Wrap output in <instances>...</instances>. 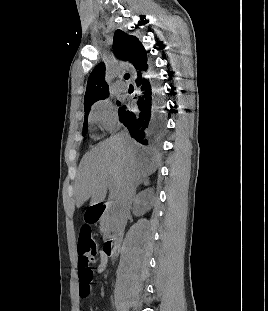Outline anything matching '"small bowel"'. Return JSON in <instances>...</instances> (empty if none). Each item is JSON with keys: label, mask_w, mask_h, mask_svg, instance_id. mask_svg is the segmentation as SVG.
Here are the masks:
<instances>
[{"label": "small bowel", "mask_w": 268, "mask_h": 311, "mask_svg": "<svg viewBox=\"0 0 268 311\" xmlns=\"http://www.w3.org/2000/svg\"><path fill=\"white\" fill-rule=\"evenodd\" d=\"M99 255H100V261H99V264L97 266V273L102 274L105 271L107 261H108V256L105 254V252L103 250H101L99 252ZM78 293H79V296L81 298H84L83 296L80 295V285H79Z\"/></svg>", "instance_id": "1"}]
</instances>
